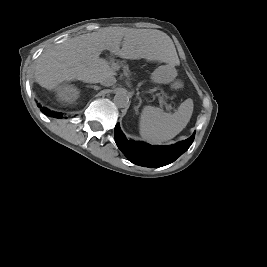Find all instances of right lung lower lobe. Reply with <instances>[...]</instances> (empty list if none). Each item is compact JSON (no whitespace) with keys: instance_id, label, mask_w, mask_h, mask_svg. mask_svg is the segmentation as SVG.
Here are the masks:
<instances>
[{"instance_id":"98d812e1","label":"right lung lower lobe","mask_w":267,"mask_h":267,"mask_svg":"<svg viewBox=\"0 0 267 267\" xmlns=\"http://www.w3.org/2000/svg\"><path fill=\"white\" fill-rule=\"evenodd\" d=\"M43 112L45 113V114H48V115H52L53 117H57V118H60L62 115L60 114V115H57V113L56 112H51L50 110H48L47 108H44L43 109Z\"/></svg>"}]
</instances>
